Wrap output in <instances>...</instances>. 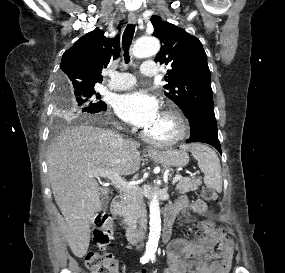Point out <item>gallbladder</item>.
<instances>
[{"label": "gallbladder", "instance_id": "1", "mask_svg": "<svg viewBox=\"0 0 285 273\" xmlns=\"http://www.w3.org/2000/svg\"><path fill=\"white\" fill-rule=\"evenodd\" d=\"M108 202H109V197H108V196L104 197V198H103V201H102V207H103V209H106V208H107Z\"/></svg>", "mask_w": 285, "mask_h": 273}]
</instances>
